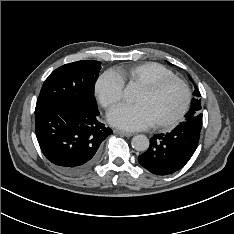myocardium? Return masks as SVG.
<instances>
[{"instance_id":"obj_1","label":"myocardium","mask_w":234,"mask_h":234,"mask_svg":"<svg viewBox=\"0 0 234 234\" xmlns=\"http://www.w3.org/2000/svg\"><path fill=\"white\" fill-rule=\"evenodd\" d=\"M170 84H177L181 87L183 91V103L181 107L179 108V110L172 117L161 122L153 123V126L158 129L171 128L175 126L183 118V116L185 115V113L187 112L189 108L190 101H191L190 89L188 85L182 79L178 77H167V78H163L155 82L140 86V90H142L144 93L148 95H152Z\"/></svg>"}]
</instances>
